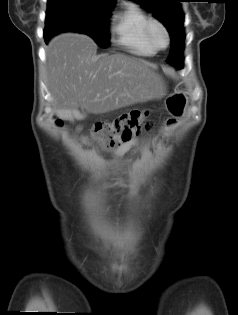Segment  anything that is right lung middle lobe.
<instances>
[{
  "instance_id": "obj_1",
  "label": "right lung middle lobe",
  "mask_w": 238,
  "mask_h": 315,
  "mask_svg": "<svg viewBox=\"0 0 238 315\" xmlns=\"http://www.w3.org/2000/svg\"><path fill=\"white\" fill-rule=\"evenodd\" d=\"M44 39L74 31L87 34L101 47L109 46L108 18L113 6L89 0H48Z\"/></svg>"
}]
</instances>
